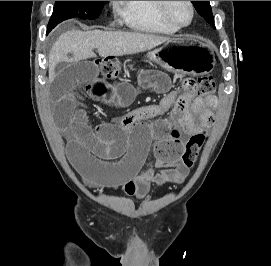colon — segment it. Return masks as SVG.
<instances>
[{
	"label": "colon",
	"instance_id": "obj_1",
	"mask_svg": "<svg viewBox=\"0 0 271 266\" xmlns=\"http://www.w3.org/2000/svg\"><path fill=\"white\" fill-rule=\"evenodd\" d=\"M95 64L100 70L101 75L107 79L117 76L121 71L120 62L113 58L97 60ZM214 88L215 81L211 75H203L195 78L190 77L183 81L181 94L188 97L198 96L204 98L212 95ZM205 137L206 133L204 131L195 132L185 143L181 162L183 169L186 171L194 166L204 144Z\"/></svg>",
	"mask_w": 271,
	"mask_h": 266
}]
</instances>
